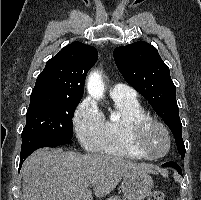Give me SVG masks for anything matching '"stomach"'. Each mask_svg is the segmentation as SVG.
Segmentation results:
<instances>
[{"label":"stomach","mask_w":201,"mask_h":200,"mask_svg":"<svg viewBox=\"0 0 201 200\" xmlns=\"http://www.w3.org/2000/svg\"><path fill=\"white\" fill-rule=\"evenodd\" d=\"M153 188L152 177L148 173H131L123 177L121 189L129 200H143Z\"/></svg>","instance_id":"obj_1"}]
</instances>
